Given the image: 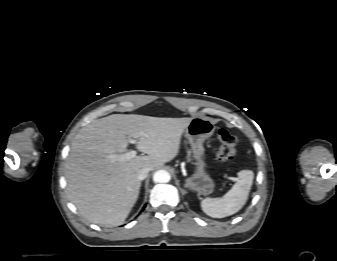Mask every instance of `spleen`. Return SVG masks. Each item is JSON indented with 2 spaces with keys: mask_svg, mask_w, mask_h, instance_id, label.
Masks as SVG:
<instances>
[{
  "mask_svg": "<svg viewBox=\"0 0 337 261\" xmlns=\"http://www.w3.org/2000/svg\"><path fill=\"white\" fill-rule=\"evenodd\" d=\"M239 180L222 198H205L201 201L202 210L210 217L223 218L238 212L246 203L252 186V170L238 172Z\"/></svg>",
  "mask_w": 337,
  "mask_h": 261,
  "instance_id": "spleen-1",
  "label": "spleen"
}]
</instances>
